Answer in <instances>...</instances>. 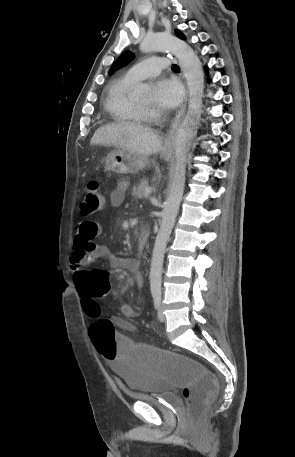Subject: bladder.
<instances>
[{"label":"bladder","instance_id":"31cf9c89","mask_svg":"<svg viewBox=\"0 0 295 457\" xmlns=\"http://www.w3.org/2000/svg\"><path fill=\"white\" fill-rule=\"evenodd\" d=\"M112 369L132 396L158 407L159 411H180L181 404L167 389L166 378H160L159 374H141L138 366H120L119 362L113 363Z\"/></svg>","mask_w":295,"mask_h":457}]
</instances>
